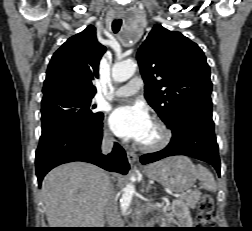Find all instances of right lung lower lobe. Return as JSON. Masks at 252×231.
<instances>
[{"mask_svg":"<svg viewBox=\"0 0 252 231\" xmlns=\"http://www.w3.org/2000/svg\"><path fill=\"white\" fill-rule=\"evenodd\" d=\"M102 127V122L93 127L62 124L42 131L35 158L39 184L52 168L73 161L89 162L108 171L126 174L129 164L118 143L110 154L101 153Z\"/></svg>","mask_w":252,"mask_h":231,"instance_id":"98d812e1","label":"right lung lower lobe"}]
</instances>
